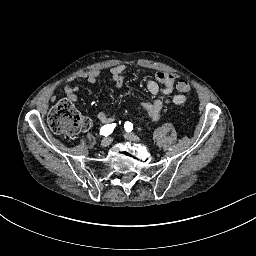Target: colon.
I'll list each match as a JSON object with an SVG mask.
<instances>
[{"label": "colon", "instance_id": "obj_1", "mask_svg": "<svg viewBox=\"0 0 256 256\" xmlns=\"http://www.w3.org/2000/svg\"><path fill=\"white\" fill-rule=\"evenodd\" d=\"M178 88L182 92H189L190 85L185 80H180ZM48 124L52 131L57 134L73 137L80 131L90 128L91 120L82 116L74 107L73 103L67 99L61 100L51 110L48 117Z\"/></svg>", "mask_w": 256, "mask_h": 256}]
</instances>
